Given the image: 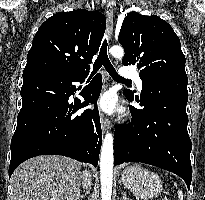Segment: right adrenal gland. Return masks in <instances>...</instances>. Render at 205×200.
<instances>
[{
    "mask_svg": "<svg viewBox=\"0 0 205 200\" xmlns=\"http://www.w3.org/2000/svg\"><path fill=\"white\" fill-rule=\"evenodd\" d=\"M83 198H84V195H81L78 200H82Z\"/></svg>",
    "mask_w": 205,
    "mask_h": 200,
    "instance_id": "right-adrenal-gland-1",
    "label": "right adrenal gland"
}]
</instances>
